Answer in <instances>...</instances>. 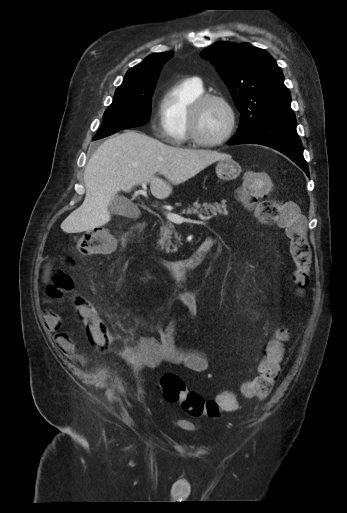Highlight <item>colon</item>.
Instances as JSON below:
<instances>
[{"instance_id":"obj_1","label":"colon","mask_w":347,"mask_h":513,"mask_svg":"<svg viewBox=\"0 0 347 513\" xmlns=\"http://www.w3.org/2000/svg\"><path fill=\"white\" fill-rule=\"evenodd\" d=\"M269 187V180L263 173L248 172L243 184L238 188L244 206L254 211V215L262 223H273L283 229L289 240V250L294 262L293 282L298 290L305 289L309 284L312 254L307 237L306 224L295 205L284 202L272 204L264 199V190ZM113 235L104 228H96L83 234L79 249L85 254H102L114 247ZM72 263L64 262L51 275L46 287L47 294L53 298H61L73 289V280L69 274ZM97 306L93 300H78L75 303V314L80 317L81 325L87 328L91 343L102 349L113 348L109 340L104 322L97 314ZM288 331L279 328L273 340H265L262 344L264 359L257 365V376L245 382L244 394L249 398H265L271 391L280 373V361L286 358L287 350L283 341ZM160 386L163 398L169 403H179L184 413L191 417H219L223 412L234 411L237 400L229 391L220 392L214 399H204L198 393L189 391L185 382L178 374L167 372L161 376Z\"/></svg>"}]
</instances>
